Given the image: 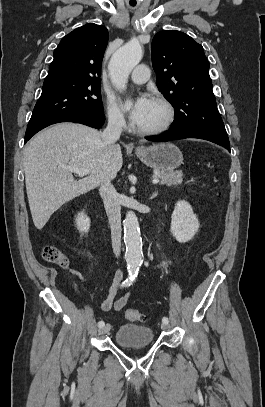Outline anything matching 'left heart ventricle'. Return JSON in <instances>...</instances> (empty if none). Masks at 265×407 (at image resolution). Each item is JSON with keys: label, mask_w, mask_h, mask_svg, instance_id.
<instances>
[{"label": "left heart ventricle", "mask_w": 265, "mask_h": 407, "mask_svg": "<svg viewBox=\"0 0 265 407\" xmlns=\"http://www.w3.org/2000/svg\"><path fill=\"white\" fill-rule=\"evenodd\" d=\"M165 118L164 108L154 100H152L151 106L143 118V120L137 124L138 128L150 129L160 125Z\"/></svg>", "instance_id": "obj_1"}]
</instances>
